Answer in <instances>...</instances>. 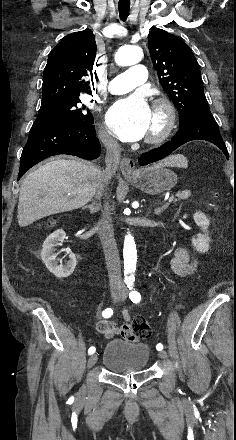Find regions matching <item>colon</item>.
I'll return each mask as SVG.
<instances>
[{
	"label": "colon",
	"instance_id": "obj_1",
	"mask_svg": "<svg viewBox=\"0 0 236 440\" xmlns=\"http://www.w3.org/2000/svg\"><path fill=\"white\" fill-rule=\"evenodd\" d=\"M133 330L136 331V339H145L150 335V326L148 321L143 316H135L132 322Z\"/></svg>",
	"mask_w": 236,
	"mask_h": 440
}]
</instances>
